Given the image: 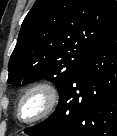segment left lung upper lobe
Returning <instances> with one entry per match:
<instances>
[{
    "label": "left lung upper lobe",
    "mask_w": 117,
    "mask_h": 136,
    "mask_svg": "<svg viewBox=\"0 0 117 136\" xmlns=\"http://www.w3.org/2000/svg\"><path fill=\"white\" fill-rule=\"evenodd\" d=\"M116 23L115 0H37L10 57L8 83L47 79L60 93Z\"/></svg>",
    "instance_id": "5c2ea615"
}]
</instances>
